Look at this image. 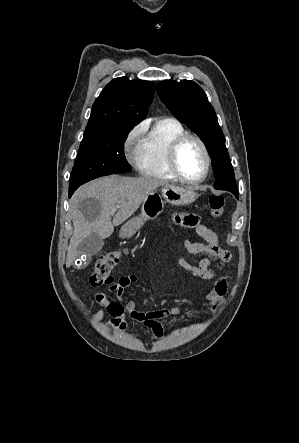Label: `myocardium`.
I'll return each mask as SVG.
<instances>
[{"label":"myocardium","mask_w":299,"mask_h":443,"mask_svg":"<svg viewBox=\"0 0 299 443\" xmlns=\"http://www.w3.org/2000/svg\"><path fill=\"white\" fill-rule=\"evenodd\" d=\"M188 140H195L200 145L203 155H204V160H205L204 172L199 178H196V179H190V178L186 177L182 173V171L179 167L178 154H179V151H180V148L182 147V145ZM168 162H169V166H170L172 173L182 182L187 183V184H191V185L199 184V183H202L203 181H205V179L209 175L210 168H211V157H210V153H209V150H208L205 142L203 141V139L201 137H199L198 135L192 134V133H184V134L180 135L179 137H177L172 142V144L170 145V148H169Z\"/></svg>","instance_id":"1"}]
</instances>
